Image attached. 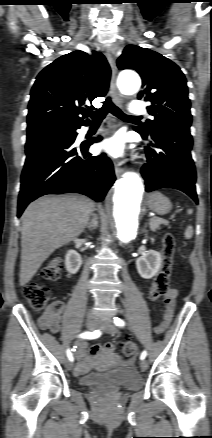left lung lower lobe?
<instances>
[{"mask_svg":"<svg viewBox=\"0 0 212 438\" xmlns=\"http://www.w3.org/2000/svg\"><path fill=\"white\" fill-rule=\"evenodd\" d=\"M143 139L148 135L136 130ZM153 149L145 147L147 161L141 173L146 191L174 188L188 194L195 202L196 171L191 158L192 136L187 128H155L150 133Z\"/></svg>","mask_w":212,"mask_h":438,"instance_id":"left-lung-lower-lobe-1","label":"left lung lower lobe"}]
</instances>
